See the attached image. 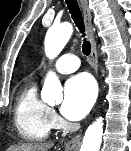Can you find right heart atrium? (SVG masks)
<instances>
[{
  "label": "right heart atrium",
  "instance_id": "d8ad5b80",
  "mask_svg": "<svg viewBox=\"0 0 131 151\" xmlns=\"http://www.w3.org/2000/svg\"><path fill=\"white\" fill-rule=\"evenodd\" d=\"M51 119L53 121V124H57L59 122V117L56 114V112L54 110L51 109Z\"/></svg>",
  "mask_w": 131,
  "mask_h": 151
}]
</instances>
